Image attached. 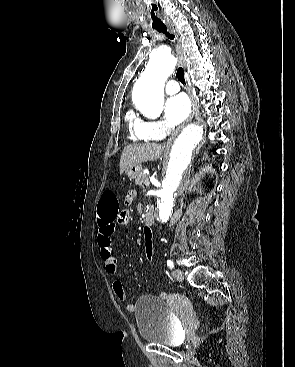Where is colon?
I'll list each match as a JSON object with an SVG mask.
<instances>
[{"label": "colon", "instance_id": "5ec220e1", "mask_svg": "<svg viewBox=\"0 0 295 367\" xmlns=\"http://www.w3.org/2000/svg\"><path fill=\"white\" fill-rule=\"evenodd\" d=\"M126 203L130 204V198H126ZM119 202L116 195L111 191H106L102 194L99 201L98 208V219L101 221H109V220H117L118 221V213ZM128 217V215H127ZM141 244L145 246V252L147 258L150 260L153 257V230L151 224H142L141 226Z\"/></svg>", "mask_w": 295, "mask_h": 367}]
</instances>
